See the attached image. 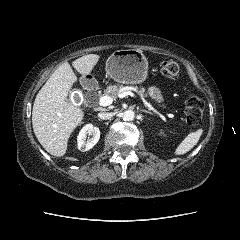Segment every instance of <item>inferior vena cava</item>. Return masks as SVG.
Segmentation results:
<instances>
[{"label": "inferior vena cava", "mask_w": 240, "mask_h": 240, "mask_svg": "<svg viewBox=\"0 0 240 240\" xmlns=\"http://www.w3.org/2000/svg\"><path fill=\"white\" fill-rule=\"evenodd\" d=\"M99 118L103 120H109L114 116V113L112 112H101L98 114Z\"/></svg>", "instance_id": "obj_1"}]
</instances>
